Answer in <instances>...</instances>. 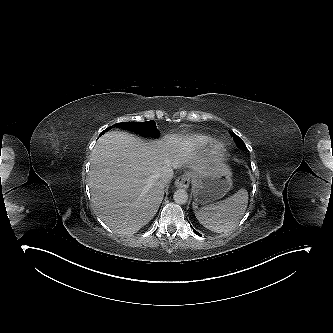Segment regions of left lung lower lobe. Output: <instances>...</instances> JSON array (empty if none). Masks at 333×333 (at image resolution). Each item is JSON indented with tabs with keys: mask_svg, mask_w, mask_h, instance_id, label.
<instances>
[{
	"mask_svg": "<svg viewBox=\"0 0 333 333\" xmlns=\"http://www.w3.org/2000/svg\"><path fill=\"white\" fill-rule=\"evenodd\" d=\"M190 226H191V225H190ZM191 228H192V226H191ZM193 231H194L195 234H197V235H199V236H202V235L199 234L195 229H193Z\"/></svg>",
	"mask_w": 333,
	"mask_h": 333,
	"instance_id": "left-lung-lower-lobe-1",
	"label": "left lung lower lobe"
}]
</instances>
